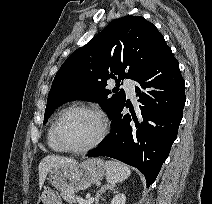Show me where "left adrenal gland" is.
<instances>
[{"instance_id":"1","label":"left adrenal gland","mask_w":212,"mask_h":204,"mask_svg":"<svg viewBox=\"0 0 212 204\" xmlns=\"http://www.w3.org/2000/svg\"><path fill=\"white\" fill-rule=\"evenodd\" d=\"M106 190H114V185H110V184H105L103 185L96 194V198H95V204L99 203V199L101 197V194L104 193Z\"/></svg>"}]
</instances>
